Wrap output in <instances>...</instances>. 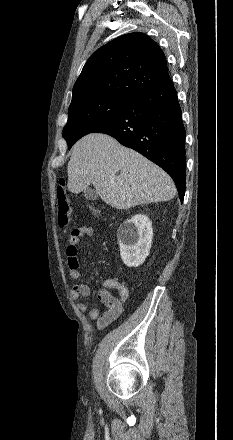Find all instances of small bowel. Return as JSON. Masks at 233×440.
I'll use <instances>...</instances> for the list:
<instances>
[{
    "mask_svg": "<svg viewBox=\"0 0 233 440\" xmlns=\"http://www.w3.org/2000/svg\"><path fill=\"white\" fill-rule=\"evenodd\" d=\"M93 234L94 230L91 226L77 227L71 232L66 248V255L68 257L70 276L73 279L79 280L82 278L78 261V246L80 241L84 237L93 236ZM108 289H116L118 296L111 294ZM90 292V288L86 284L77 283L72 290V297L75 300H84L89 297ZM129 295L130 292L127 286L116 279H105L101 282V286L97 291V298L106 307V311L101 313L100 308L97 306L87 311L88 307L84 301L78 304V310L81 313H86V317L89 320H96L98 329H104L122 316Z\"/></svg>",
    "mask_w": 233,
    "mask_h": 440,
    "instance_id": "small-bowel-1",
    "label": "small bowel"
}]
</instances>
